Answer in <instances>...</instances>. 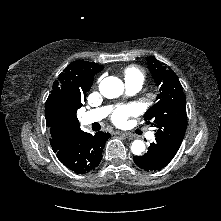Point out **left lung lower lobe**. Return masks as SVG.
Wrapping results in <instances>:
<instances>
[{"instance_id": "1", "label": "left lung lower lobe", "mask_w": 221, "mask_h": 221, "mask_svg": "<svg viewBox=\"0 0 221 221\" xmlns=\"http://www.w3.org/2000/svg\"><path fill=\"white\" fill-rule=\"evenodd\" d=\"M181 143L155 138L147 153L134 156L135 164L145 171H156L164 168L176 155Z\"/></svg>"}]
</instances>
